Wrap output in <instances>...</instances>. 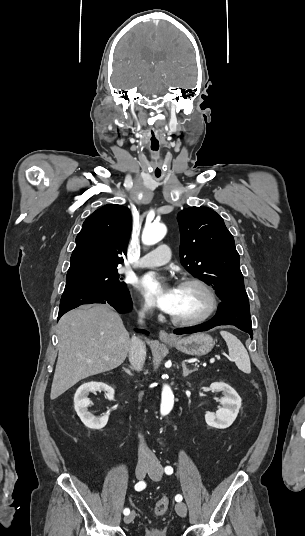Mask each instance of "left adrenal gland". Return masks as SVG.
Here are the masks:
<instances>
[{
	"instance_id": "obj_1",
	"label": "left adrenal gland",
	"mask_w": 305,
	"mask_h": 536,
	"mask_svg": "<svg viewBox=\"0 0 305 536\" xmlns=\"http://www.w3.org/2000/svg\"><path fill=\"white\" fill-rule=\"evenodd\" d=\"M183 376L184 378H186V376H189V374H192V372H194V370H188V368H186L184 362H183Z\"/></svg>"
}]
</instances>
